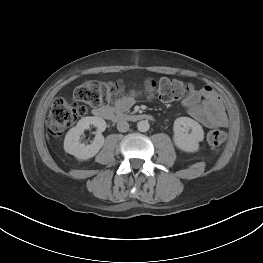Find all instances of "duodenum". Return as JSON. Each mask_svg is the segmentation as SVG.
<instances>
[{"mask_svg":"<svg viewBox=\"0 0 263 263\" xmlns=\"http://www.w3.org/2000/svg\"><path fill=\"white\" fill-rule=\"evenodd\" d=\"M94 114L103 119L111 120L114 122L122 121H142L151 119L150 115L147 114H126L118 108L102 107L94 111Z\"/></svg>","mask_w":263,"mask_h":263,"instance_id":"1","label":"duodenum"}]
</instances>
